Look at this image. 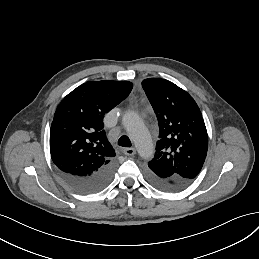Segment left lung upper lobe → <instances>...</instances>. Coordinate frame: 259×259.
I'll return each mask as SVG.
<instances>
[{
    "label": "left lung upper lobe",
    "instance_id": "1",
    "mask_svg": "<svg viewBox=\"0 0 259 259\" xmlns=\"http://www.w3.org/2000/svg\"><path fill=\"white\" fill-rule=\"evenodd\" d=\"M142 87L156 114L160 138L147 171L164 180L193 181L203 167L208 148L199 107L186 91L168 80L145 79Z\"/></svg>",
    "mask_w": 259,
    "mask_h": 259
}]
</instances>
